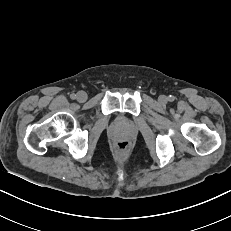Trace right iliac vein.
<instances>
[{
	"mask_svg": "<svg viewBox=\"0 0 231 231\" xmlns=\"http://www.w3.org/2000/svg\"><path fill=\"white\" fill-rule=\"evenodd\" d=\"M76 99L79 101V102H84L87 100V94L84 92V91H79L77 94H76Z\"/></svg>",
	"mask_w": 231,
	"mask_h": 231,
	"instance_id": "63e3f726",
	"label": "right iliac vein"
}]
</instances>
